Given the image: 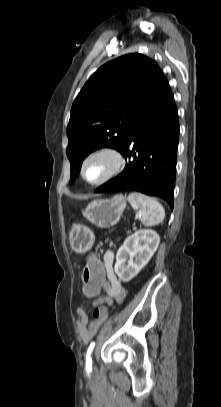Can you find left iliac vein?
Returning a JSON list of instances; mask_svg holds the SVG:
<instances>
[{
	"instance_id": "left-iliac-vein-1",
	"label": "left iliac vein",
	"mask_w": 221,
	"mask_h": 407,
	"mask_svg": "<svg viewBox=\"0 0 221 407\" xmlns=\"http://www.w3.org/2000/svg\"><path fill=\"white\" fill-rule=\"evenodd\" d=\"M95 372H96V366L93 365V373H95Z\"/></svg>"
}]
</instances>
